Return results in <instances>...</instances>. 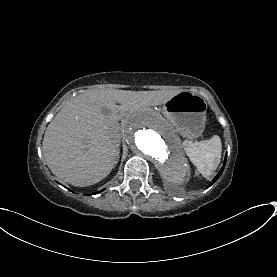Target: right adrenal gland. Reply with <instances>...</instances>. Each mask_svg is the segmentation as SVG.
<instances>
[{"instance_id": "obj_1", "label": "right adrenal gland", "mask_w": 277, "mask_h": 277, "mask_svg": "<svg viewBox=\"0 0 277 277\" xmlns=\"http://www.w3.org/2000/svg\"><path fill=\"white\" fill-rule=\"evenodd\" d=\"M119 159H120V154L118 153L117 159H116V164L119 162Z\"/></svg>"}]
</instances>
